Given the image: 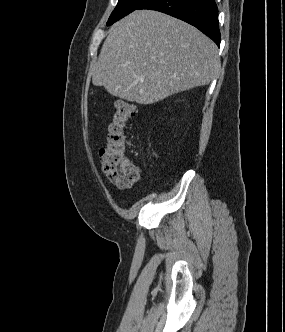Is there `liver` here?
Segmentation results:
<instances>
[{
  "label": "liver",
  "mask_w": 285,
  "mask_h": 332,
  "mask_svg": "<svg viewBox=\"0 0 285 332\" xmlns=\"http://www.w3.org/2000/svg\"><path fill=\"white\" fill-rule=\"evenodd\" d=\"M219 66L217 46L198 29L137 10L111 26L91 73L109 94L148 105L209 84Z\"/></svg>",
  "instance_id": "1"
}]
</instances>
